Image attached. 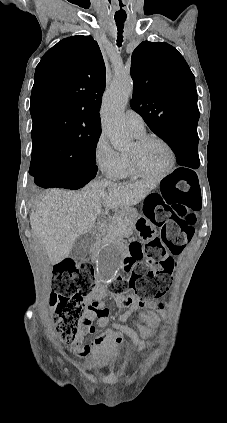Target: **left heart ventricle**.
<instances>
[{"instance_id":"obj_1","label":"left heart ventricle","mask_w":227,"mask_h":423,"mask_svg":"<svg viewBox=\"0 0 227 423\" xmlns=\"http://www.w3.org/2000/svg\"><path fill=\"white\" fill-rule=\"evenodd\" d=\"M133 150L134 144L129 151ZM138 160L144 171L159 174L167 167L169 154L160 143L154 141L139 150Z\"/></svg>"}]
</instances>
